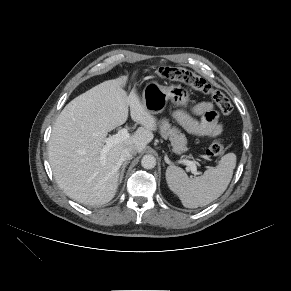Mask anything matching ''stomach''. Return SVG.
I'll return each instance as SVG.
<instances>
[{
	"label": "stomach",
	"instance_id": "0dacf381",
	"mask_svg": "<svg viewBox=\"0 0 291 291\" xmlns=\"http://www.w3.org/2000/svg\"><path fill=\"white\" fill-rule=\"evenodd\" d=\"M186 107L190 101L188 91L180 85L164 87L156 82L148 83L142 93V103L151 114L161 113L168 102Z\"/></svg>",
	"mask_w": 291,
	"mask_h": 291
}]
</instances>
